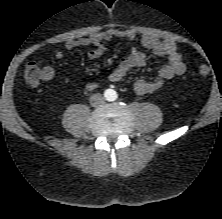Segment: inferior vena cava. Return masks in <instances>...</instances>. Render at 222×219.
Here are the masks:
<instances>
[{
	"label": "inferior vena cava",
	"instance_id": "1",
	"mask_svg": "<svg viewBox=\"0 0 222 219\" xmlns=\"http://www.w3.org/2000/svg\"><path fill=\"white\" fill-rule=\"evenodd\" d=\"M104 102V98L102 97L101 94H94L91 98H90V103L92 106H97L99 104H102Z\"/></svg>",
	"mask_w": 222,
	"mask_h": 219
}]
</instances>
